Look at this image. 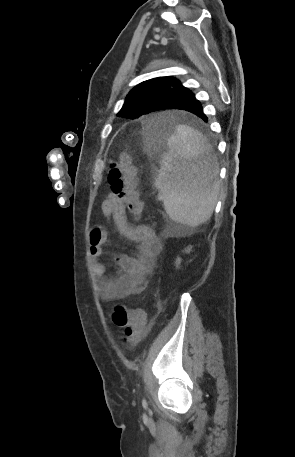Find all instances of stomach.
Listing matches in <instances>:
<instances>
[{
	"label": "stomach",
	"mask_w": 295,
	"mask_h": 457,
	"mask_svg": "<svg viewBox=\"0 0 295 457\" xmlns=\"http://www.w3.org/2000/svg\"><path fill=\"white\" fill-rule=\"evenodd\" d=\"M146 131L148 132V135L152 138H154L155 140H159L160 142V145H161V148L163 150H168V139H169V134H168V131H164L162 133H153L149 127H147Z\"/></svg>",
	"instance_id": "1"
}]
</instances>
